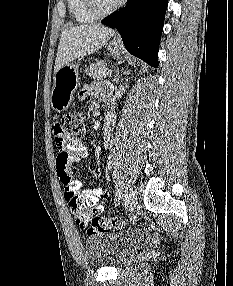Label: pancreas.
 Segmentation results:
<instances>
[{
  "label": "pancreas",
  "mask_w": 233,
  "mask_h": 286,
  "mask_svg": "<svg viewBox=\"0 0 233 286\" xmlns=\"http://www.w3.org/2000/svg\"><path fill=\"white\" fill-rule=\"evenodd\" d=\"M106 69L104 62L93 63L85 69V73L94 79L101 80L106 77L103 70Z\"/></svg>",
  "instance_id": "pancreas-1"
}]
</instances>
